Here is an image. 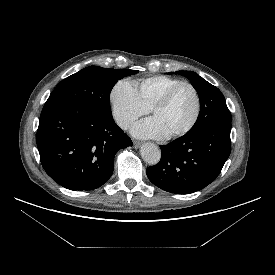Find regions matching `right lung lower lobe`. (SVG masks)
Masks as SVG:
<instances>
[{
  "label": "right lung lower lobe",
  "mask_w": 275,
  "mask_h": 275,
  "mask_svg": "<svg viewBox=\"0 0 275 275\" xmlns=\"http://www.w3.org/2000/svg\"><path fill=\"white\" fill-rule=\"evenodd\" d=\"M37 146L46 173L70 190H93L113 173L114 156L132 146L112 116L89 107L43 108Z\"/></svg>",
  "instance_id": "98d812e1"
}]
</instances>
